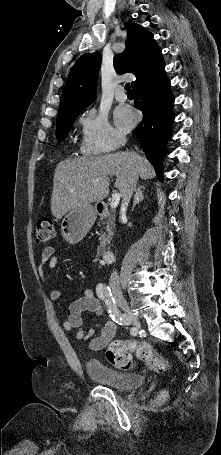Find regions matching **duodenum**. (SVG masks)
I'll list each match as a JSON object with an SVG mask.
<instances>
[{"label":"duodenum","mask_w":221,"mask_h":455,"mask_svg":"<svg viewBox=\"0 0 221 455\" xmlns=\"http://www.w3.org/2000/svg\"><path fill=\"white\" fill-rule=\"evenodd\" d=\"M98 213L103 215V216H106L108 214V208L106 206H99L98 207ZM113 250L112 249H106L103 253H102V259L105 261V262H111L112 259H113Z\"/></svg>","instance_id":"410a0bca"}]
</instances>
